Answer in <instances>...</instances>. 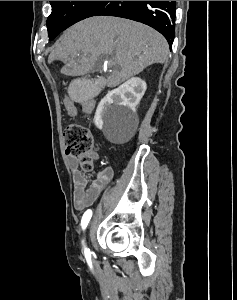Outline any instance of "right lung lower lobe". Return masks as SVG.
I'll return each instance as SVG.
<instances>
[{
  "instance_id": "right-lung-lower-lobe-1",
  "label": "right lung lower lobe",
  "mask_w": 237,
  "mask_h": 300,
  "mask_svg": "<svg viewBox=\"0 0 237 300\" xmlns=\"http://www.w3.org/2000/svg\"><path fill=\"white\" fill-rule=\"evenodd\" d=\"M175 1H105L93 16L123 17L159 31L172 48L175 36Z\"/></svg>"
}]
</instances>
